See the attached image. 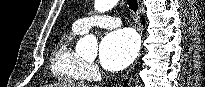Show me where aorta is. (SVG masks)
I'll use <instances>...</instances> for the list:
<instances>
[{
    "mask_svg": "<svg viewBox=\"0 0 205 87\" xmlns=\"http://www.w3.org/2000/svg\"><path fill=\"white\" fill-rule=\"evenodd\" d=\"M118 0H95V10L99 13H104L111 10ZM97 39L92 34L85 35L77 43V49L82 52H92L95 53L97 50Z\"/></svg>",
    "mask_w": 205,
    "mask_h": 87,
    "instance_id": "aorta-1",
    "label": "aorta"
}]
</instances>
